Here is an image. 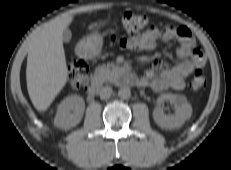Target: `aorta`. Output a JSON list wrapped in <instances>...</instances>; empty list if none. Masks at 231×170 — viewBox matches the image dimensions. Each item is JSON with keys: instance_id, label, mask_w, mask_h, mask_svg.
<instances>
[{"instance_id": "aorta-1", "label": "aorta", "mask_w": 231, "mask_h": 170, "mask_svg": "<svg viewBox=\"0 0 231 170\" xmlns=\"http://www.w3.org/2000/svg\"><path fill=\"white\" fill-rule=\"evenodd\" d=\"M118 96L121 99H129L131 97V91L128 87H122L118 91Z\"/></svg>"}]
</instances>
